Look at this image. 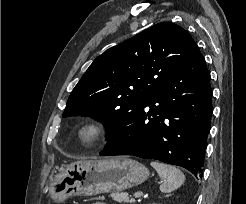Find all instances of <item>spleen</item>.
<instances>
[{
	"label": "spleen",
	"mask_w": 246,
	"mask_h": 204,
	"mask_svg": "<svg viewBox=\"0 0 246 204\" xmlns=\"http://www.w3.org/2000/svg\"><path fill=\"white\" fill-rule=\"evenodd\" d=\"M150 165L157 171L159 177L163 180L160 185V191L169 193L180 187L185 181V175L177 167L151 161Z\"/></svg>",
	"instance_id": "3e777b00"
}]
</instances>
